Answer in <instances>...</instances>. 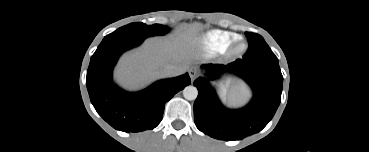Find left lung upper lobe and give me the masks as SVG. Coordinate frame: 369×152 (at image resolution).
Returning a JSON list of instances; mask_svg holds the SVG:
<instances>
[{
  "label": "left lung upper lobe",
  "instance_id": "left-lung-upper-lobe-1",
  "mask_svg": "<svg viewBox=\"0 0 369 152\" xmlns=\"http://www.w3.org/2000/svg\"><path fill=\"white\" fill-rule=\"evenodd\" d=\"M249 48L244 59L248 60H273L278 61L262 36L256 33L246 32Z\"/></svg>",
  "mask_w": 369,
  "mask_h": 152
}]
</instances>
